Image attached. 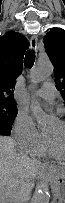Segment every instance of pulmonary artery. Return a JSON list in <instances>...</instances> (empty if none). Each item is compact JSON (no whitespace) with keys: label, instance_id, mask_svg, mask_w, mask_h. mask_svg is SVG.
I'll list each match as a JSON object with an SVG mask.
<instances>
[{"label":"pulmonary artery","instance_id":"obj_1","mask_svg":"<svg viewBox=\"0 0 65 203\" xmlns=\"http://www.w3.org/2000/svg\"><path fill=\"white\" fill-rule=\"evenodd\" d=\"M35 94L46 101L52 102L56 97V89L51 82H46Z\"/></svg>","mask_w":65,"mask_h":203}]
</instances>
